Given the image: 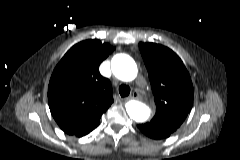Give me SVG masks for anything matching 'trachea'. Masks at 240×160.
<instances>
[{
	"instance_id": "trachea-1",
	"label": "trachea",
	"mask_w": 240,
	"mask_h": 160,
	"mask_svg": "<svg viewBox=\"0 0 240 160\" xmlns=\"http://www.w3.org/2000/svg\"><path fill=\"white\" fill-rule=\"evenodd\" d=\"M118 91L121 97H126L130 94V87L126 84H122L119 86Z\"/></svg>"
}]
</instances>
